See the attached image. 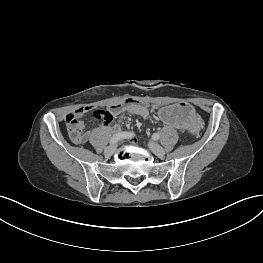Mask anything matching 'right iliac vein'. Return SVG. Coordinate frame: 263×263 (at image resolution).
Wrapping results in <instances>:
<instances>
[{
    "label": "right iliac vein",
    "instance_id": "obj_1",
    "mask_svg": "<svg viewBox=\"0 0 263 263\" xmlns=\"http://www.w3.org/2000/svg\"><path fill=\"white\" fill-rule=\"evenodd\" d=\"M116 151V145H110L104 150L106 156H112Z\"/></svg>",
    "mask_w": 263,
    "mask_h": 263
}]
</instances>
